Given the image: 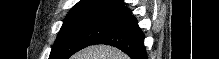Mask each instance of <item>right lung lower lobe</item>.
Returning <instances> with one entry per match:
<instances>
[{"instance_id": "1", "label": "right lung lower lobe", "mask_w": 219, "mask_h": 59, "mask_svg": "<svg viewBox=\"0 0 219 59\" xmlns=\"http://www.w3.org/2000/svg\"><path fill=\"white\" fill-rule=\"evenodd\" d=\"M114 12L126 16L127 20L101 36L93 45H111L122 50L132 59H147L144 34L139 28L136 18L132 17L131 12L124 4L114 9Z\"/></svg>"}]
</instances>
